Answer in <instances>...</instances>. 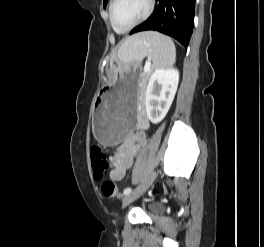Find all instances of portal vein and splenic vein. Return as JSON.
<instances>
[{
	"label": "portal vein and splenic vein",
	"instance_id": "1",
	"mask_svg": "<svg viewBox=\"0 0 264 247\" xmlns=\"http://www.w3.org/2000/svg\"><path fill=\"white\" fill-rule=\"evenodd\" d=\"M150 66H151V62H147L145 67H144V71L147 73L150 70Z\"/></svg>",
	"mask_w": 264,
	"mask_h": 247
}]
</instances>
